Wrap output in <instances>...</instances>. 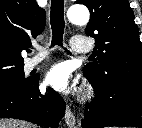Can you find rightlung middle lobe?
<instances>
[{
    "label": "right lung middle lobe",
    "mask_w": 142,
    "mask_h": 128,
    "mask_svg": "<svg viewBox=\"0 0 142 128\" xmlns=\"http://www.w3.org/2000/svg\"><path fill=\"white\" fill-rule=\"evenodd\" d=\"M29 80L30 78L24 77L23 67H0V91L15 89Z\"/></svg>",
    "instance_id": "dd1d6c3e"
}]
</instances>
